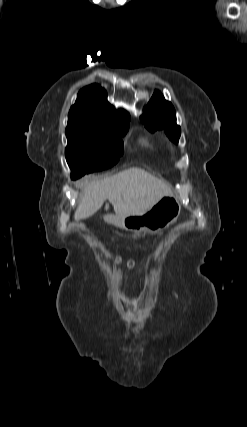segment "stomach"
<instances>
[{
	"label": "stomach",
	"mask_w": 247,
	"mask_h": 427,
	"mask_svg": "<svg viewBox=\"0 0 247 427\" xmlns=\"http://www.w3.org/2000/svg\"><path fill=\"white\" fill-rule=\"evenodd\" d=\"M181 204L173 195L162 197L155 205L142 214L117 217L107 215L104 219L119 228L132 232H157L173 224L179 217Z\"/></svg>",
	"instance_id": "0dacf381"
}]
</instances>
